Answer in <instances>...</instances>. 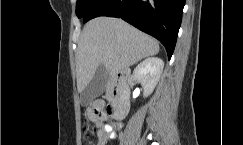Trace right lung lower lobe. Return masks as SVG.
Returning a JSON list of instances; mask_svg holds the SVG:
<instances>
[{
  "label": "right lung lower lobe",
  "instance_id": "1",
  "mask_svg": "<svg viewBox=\"0 0 243 145\" xmlns=\"http://www.w3.org/2000/svg\"><path fill=\"white\" fill-rule=\"evenodd\" d=\"M185 0H97L83 16V22L98 17L122 18L157 38L170 59L177 40Z\"/></svg>",
  "mask_w": 243,
  "mask_h": 145
}]
</instances>
